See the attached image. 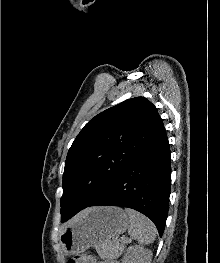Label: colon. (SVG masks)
I'll return each instance as SVG.
<instances>
[{
    "mask_svg": "<svg viewBox=\"0 0 220 263\" xmlns=\"http://www.w3.org/2000/svg\"><path fill=\"white\" fill-rule=\"evenodd\" d=\"M85 257L83 254H78L73 258L69 259L67 263H83Z\"/></svg>",
    "mask_w": 220,
    "mask_h": 263,
    "instance_id": "obj_1",
    "label": "colon"
}]
</instances>
